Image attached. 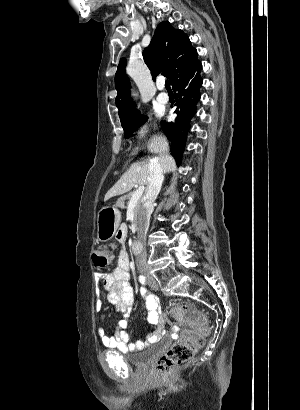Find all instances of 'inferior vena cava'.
I'll list each match as a JSON object with an SVG mask.
<instances>
[{
    "label": "inferior vena cava",
    "mask_w": 300,
    "mask_h": 410,
    "mask_svg": "<svg viewBox=\"0 0 300 410\" xmlns=\"http://www.w3.org/2000/svg\"><path fill=\"white\" fill-rule=\"evenodd\" d=\"M164 180L163 169L157 160L149 162V184L143 198V207L138 212V236L141 248H144L146 243V234L149 227L151 213L154 209V202L161 190ZM136 266L139 271L147 269V252L145 249L140 250V254L136 257Z\"/></svg>",
    "instance_id": "obj_1"
}]
</instances>
